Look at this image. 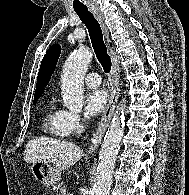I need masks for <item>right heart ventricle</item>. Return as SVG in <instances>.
Masks as SVG:
<instances>
[{
	"label": "right heart ventricle",
	"mask_w": 189,
	"mask_h": 195,
	"mask_svg": "<svg viewBox=\"0 0 189 195\" xmlns=\"http://www.w3.org/2000/svg\"><path fill=\"white\" fill-rule=\"evenodd\" d=\"M66 111L60 108L54 101H49L44 108L42 117V131L55 137H65Z\"/></svg>",
	"instance_id": "e07e8e85"
}]
</instances>
